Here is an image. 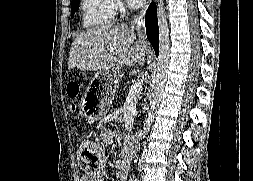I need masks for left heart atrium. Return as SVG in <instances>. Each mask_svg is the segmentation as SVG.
Wrapping results in <instances>:
<instances>
[{"label":"left heart atrium","instance_id":"1","mask_svg":"<svg viewBox=\"0 0 253 181\" xmlns=\"http://www.w3.org/2000/svg\"><path fill=\"white\" fill-rule=\"evenodd\" d=\"M131 7H140L145 0H126Z\"/></svg>","mask_w":253,"mask_h":181}]
</instances>
